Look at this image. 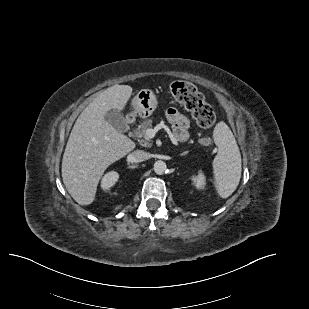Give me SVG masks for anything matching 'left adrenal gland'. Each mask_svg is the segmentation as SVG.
<instances>
[{
  "label": "left adrenal gland",
  "mask_w": 309,
  "mask_h": 309,
  "mask_svg": "<svg viewBox=\"0 0 309 309\" xmlns=\"http://www.w3.org/2000/svg\"><path fill=\"white\" fill-rule=\"evenodd\" d=\"M186 153H182L181 156L185 155Z\"/></svg>",
  "instance_id": "1"
}]
</instances>
